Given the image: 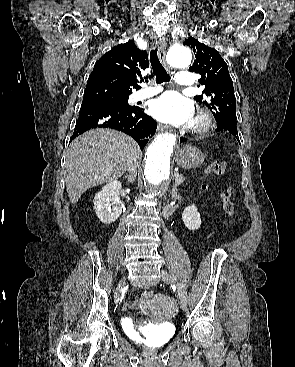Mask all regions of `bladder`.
<instances>
[{"instance_id": "obj_1", "label": "bladder", "mask_w": 295, "mask_h": 367, "mask_svg": "<svg viewBox=\"0 0 295 367\" xmlns=\"http://www.w3.org/2000/svg\"><path fill=\"white\" fill-rule=\"evenodd\" d=\"M170 325V327H168V328H166V330H164L163 332H162V337L164 338V340H169L172 336H173V334H174V326H173V324H169Z\"/></svg>"}]
</instances>
